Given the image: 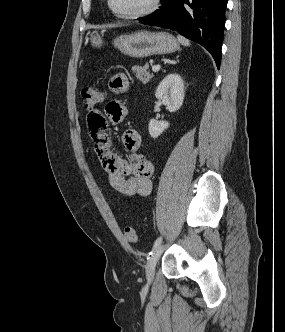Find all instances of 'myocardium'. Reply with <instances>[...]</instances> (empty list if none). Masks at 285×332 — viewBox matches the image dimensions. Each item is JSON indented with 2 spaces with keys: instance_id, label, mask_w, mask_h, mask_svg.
Instances as JSON below:
<instances>
[{
  "instance_id": "myocardium-1",
  "label": "myocardium",
  "mask_w": 285,
  "mask_h": 332,
  "mask_svg": "<svg viewBox=\"0 0 285 332\" xmlns=\"http://www.w3.org/2000/svg\"><path fill=\"white\" fill-rule=\"evenodd\" d=\"M161 5V0H152L151 5L141 11L135 12V13H130V14H122L116 11L112 5V0H107V6L110 10V12L113 14L118 19L122 20H136V19H141L147 16L152 15L155 13Z\"/></svg>"
}]
</instances>
